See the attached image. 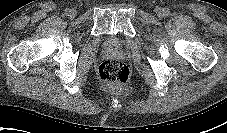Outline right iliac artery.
<instances>
[{
  "label": "right iliac artery",
  "mask_w": 227,
  "mask_h": 133,
  "mask_svg": "<svg viewBox=\"0 0 227 133\" xmlns=\"http://www.w3.org/2000/svg\"><path fill=\"white\" fill-rule=\"evenodd\" d=\"M69 12H70L69 9H66V10H65V14H66V15H69Z\"/></svg>",
  "instance_id": "82829eb1"
}]
</instances>
